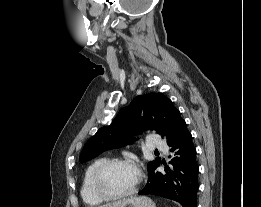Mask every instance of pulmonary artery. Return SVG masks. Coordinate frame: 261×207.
I'll use <instances>...</instances> for the list:
<instances>
[{
    "label": "pulmonary artery",
    "mask_w": 261,
    "mask_h": 207,
    "mask_svg": "<svg viewBox=\"0 0 261 207\" xmlns=\"http://www.w3.org/2000/svg\"><path fill=\"white\" fill-rule=\"evenodd\" d=\"M150 148L158 150H166V144L161 138L157 135L150 136Z\"/></svg>",
    "instance_id": "pulmonary-artery-1"
}]
</instances>
